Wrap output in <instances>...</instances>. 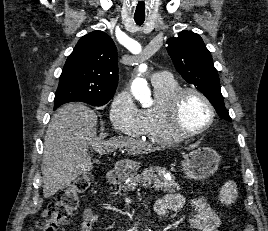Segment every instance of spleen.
Returning a JSON list of instances; mask_svg holds the SVG:
<instances>
[{
    "label": "spleen",
    "instance_id": "1",
    "mask_svg": "<svg viewBox=\"0 0 268 231\" xmlns=\"http://www.w3.org/2000/svg\"><path fill=\"white\" fill-rule=\"evenodd\" d=\"M238 197V191L236 184L233 181H228L222 186L219 192V200L223 204H231L236 201Z\"/></svg>",
    "mask_w": 268,
    "mask_h": 231
}]
</instances>
